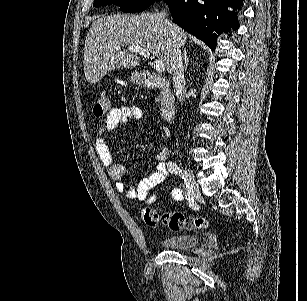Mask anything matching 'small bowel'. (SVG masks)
<instances>
[{
	"instance_id": "obj_1",
	"label": "small bowel",
	"mask_w": 307,
	"mask_h": 301,
	"mask_svg": "<svg viewBox=\"0 0 307 301\" xmlns=\"http://www.w3.org/2000/svg\"><path fill=\"white\" fill-rule=\"evenodd\" d=\"M142 111L138 106L129 105L112 108L107 114L104 124L100 127L95 135V149L102 162L107 167V172L110 178L115 182L118 192L129 200H140L148 204L153 203L156 195L152 190L163 183L169 176V170L164 159L166 157V150H161L158 155V163L154 171L144 178L137 188H132L124 182L125 169L121 164L114 163L112 153L108 146L106 132L114 130L130 119H141ZM171 197L174 201H181L183 199V192L181 188L174 186L171 189Z\"/></svg>"
}]
</instances>
